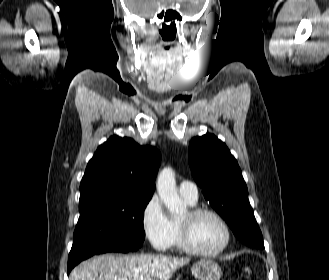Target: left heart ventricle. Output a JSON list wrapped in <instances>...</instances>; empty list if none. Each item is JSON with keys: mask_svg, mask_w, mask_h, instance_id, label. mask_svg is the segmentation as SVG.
I'll return each instance as SVG.
<instances>
[{"mask_svg": "<svg viewBox=\"0 0 329 280\" xmlns=\"http://www.w3.org/2000/svg\"><path fill=\"white\" fill-rule=\"evenodd\" d=\"M186 213L180 220L185 219ZM193 243L205 251L219 248L225 239V232L221 224L212 216L202 215L196 218L191 225Z\"/></svg>", "mask_w": 329, "mask_h": 280, "instance_id": "obj_1", "label": "left heart ventricle"}]
</instances>
